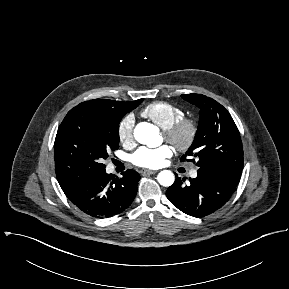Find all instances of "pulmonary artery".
I'll return each mask as SVG.
<instances>
[{
	"label": "pulmonary artery",
	"instance_id": "obj_1",
	"mask_svg": "<svg viewBox=\"0 0 289 289\" xmlns=\"http://www.w3.org/2000/svg\"><path fill=\"white\" fill-rule=\"evenodd\" d=\"M190 176L193 177V178H195V177L197 176V171H196L195 169H192V170L190 171Z\"/></svg>",
	"mask_w": 289,
	"mask_h": 289
}]
</instances>
